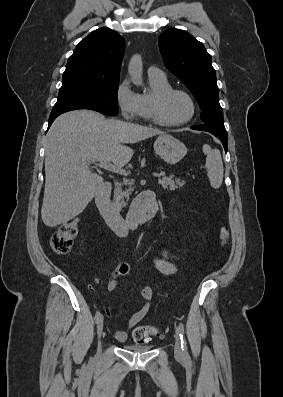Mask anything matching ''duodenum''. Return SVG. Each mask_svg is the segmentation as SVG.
<instances>
[{
  "label": "duodenum",
  "instance_id": "obj_1",
  "mask_svg": "<svg viewBox=\"0 0 283 397\" xmlns=\"http://www.w3.org/2000/svg\"><path fill=\"white\" fill-rule=\"evenodd\" d=\"M111 184L103 183L95 197V202L110 228L119 236H126L131 230L147 224L157 213L159 204L151 191L139 193L131 203L124 217L110 200Z\"/></svg>",
  "mask_w": 283,
  "mask_h": 397
}]
</instances>
